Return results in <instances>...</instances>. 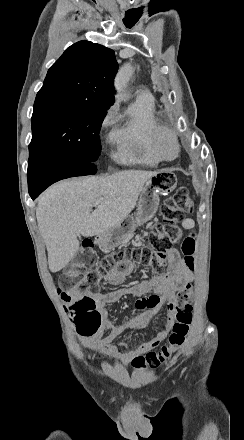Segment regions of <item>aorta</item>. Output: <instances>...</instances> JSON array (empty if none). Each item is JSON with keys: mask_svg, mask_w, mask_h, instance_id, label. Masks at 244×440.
Here are the masks:
<instances>
[{"mask_svg": "<svg viewBox=\"0 0 244 440\" xmlns=\"http://www.w3.org/2000/svg\"><path fill=\"white\" fill-rule=\"evenodd\" d=\"M132 75V67L129 64L124 65L118 71L115 78V89L117 100H123L125 98V88Z\"/></svg>", "mask_w": 244, "mask_h": 440, "instance_id": "1", "label": "aorta"}]
</instances>
